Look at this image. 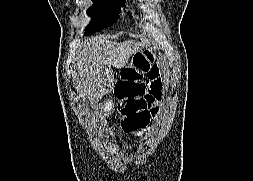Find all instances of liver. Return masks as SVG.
I'll return each mask as SVG.
<instances>
[{
    "label": "liver",
    "mask_w": 253,
    "mask_h": 181,
    "mask_svg": "<svg viewBox=\"0 0 253 181\" xmlns=\"http://www.w3.org/2000/svg\"><path fill=\"white\" fill-rule=\"evenodd\" d=\"M145 46V42L135 40L117 43L106 38H92L86 41L76 57L74 78L78 93L90 101H98L114 86L111 67H125L130 57Z\"/></svg>",
    "instance_id": "1"
}]
</instances>
